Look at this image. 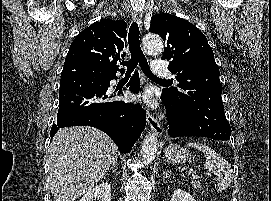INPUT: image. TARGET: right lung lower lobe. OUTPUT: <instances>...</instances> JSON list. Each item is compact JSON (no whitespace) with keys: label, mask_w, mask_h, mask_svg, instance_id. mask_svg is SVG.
Here are the masks:
<instances>
[{"label":"right lung lower lobe","mask_w":271,"mask_h":201,"mask_svg":"<svg viewBox=\"0 0 271 201\" xmlns=\"http://www.w3.org/2000/svg\"><path fill=\"white\" fill-rule=\"evenodd\" d=\"M116 78V72L99 70L90 64H65L60 81L57 122L51 128V137L62 127L92 126L109 135L121 153L130 152L145 128L146 116L137 103L111 99L113 94L108 92V87ZM127 87L132 92H139L137 72Z\"/></svg>","instance_id":"98d812e1"}]
</instances>
